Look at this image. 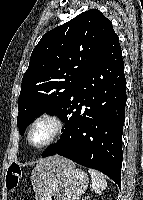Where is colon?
<instances>
[{"label":"colon","mask_w":143,"mask_h":200,"mask_svg":"<svg viewBox=\"0 0 143 200\" xmlns=\"http://www.w3.org/2000/svg\"><path fill=\"white\" fill-rule=\"evenodd\" d=\"M21 178V169L17 164H11L8 167L6 175V187L8 190H15Z\"/></svg>","instance_id":"colon-1"}]
</instances>
